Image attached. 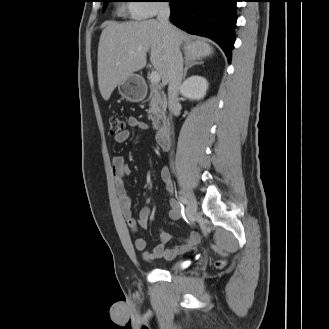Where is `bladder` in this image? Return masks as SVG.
Masks as SVG:
<instances>
[{
	"label": "bladder",
	"mask_w": 329,
	"mask_h": 329,
	"mask_svg": "<svg viewBox=\"0 0 329 329\" xmlns=\"http://www.w3.org/2000/svg\"><path fill=\"white\" fill-rule=\"evenodd\" d=\"M183 265H184L183 260H174V261L167 264L166 270L167 271H176L179 268H181Z\"/></svg>",
	"instance_id": "31cf9c89"
}]
</instances>
